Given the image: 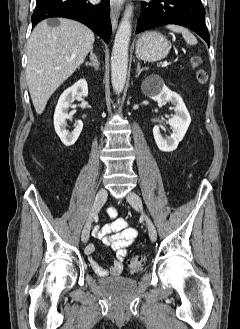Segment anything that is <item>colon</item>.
I'll use <instances>...</instances> for the list:
<instances>
[{
	"instance_id": "5ec220e1",
	"label": "colon",
	"mask_w": 240,
	"mask_h": 329,
	"mask_svg": "<svg viewBox=\"0 0 240 329\" xmlns=\"http://www.w3.org/2000/svg\"><path fill=\"white\" fill-rule=\"evenodd\" d=\"M197 63H198L197 59L193 58L192 64L197 65ZM197 79L199 82H204L206 80V73L202 70H199L197 72ZM143 263H144V256L136 255L130 260L128 268L131 272H136L142 267Z\"/></svg>"
}]
</instances>
